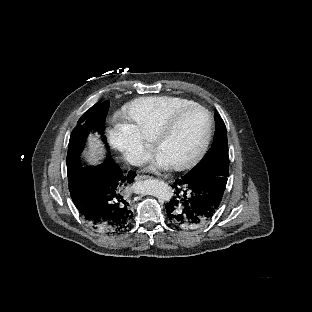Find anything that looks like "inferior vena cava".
Instances as JSON below:
<instances>
[{"mask_svg": "<svg viewBox=\"0 0 312 312\" xmlns=\"http://www.w3.org/2000/svg\"><path fill=\"white\" fill-rule=\"evenodd\" d=\"M146 157L143 153H135L130 156V164L134 166H141L143 163L146 162Z\"/></svg>", "mask_w": 312, "mask_h": 312, "instance_id": "obj_1", "label": "inferior vena cava"}]
</instances>
